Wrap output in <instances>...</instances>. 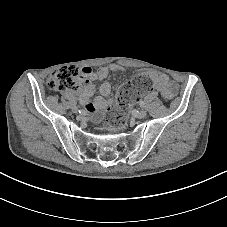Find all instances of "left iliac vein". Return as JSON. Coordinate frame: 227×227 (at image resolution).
I'll return each mask as SVG.
<instances>
[{"instance_id":"left-iliac-vein-1","label":"left iliac vein","mask_w":227,"mask_h":227,"mask_svg":"<svg viewBox=\"0 0 227 227\" xmlns=\"http://www.w3.org/2000/svg\"><path fill=\"white\" fill-rule=\"evenodd\" d=\"M146 115H147V112L144 109H141L135 114V118L144 119L146 117Z\"/></svg>"}]
</instances>
